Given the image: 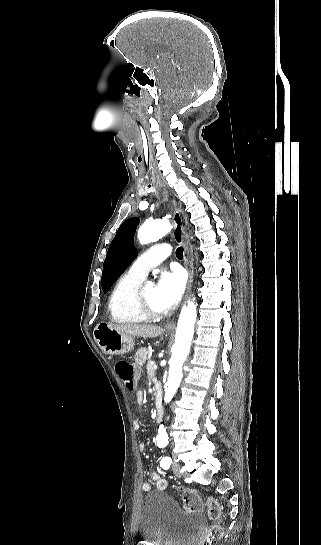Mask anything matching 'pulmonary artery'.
Listing matches in <instances>:
<instances>
[{
    "label": "pulmonary artery",
    "instance_id": "pulmonary-artery-1",
    "mask_svg": "<svg viewBox=\"0 0 321 545\" xmlns=\"http://www.w3.org/2000/svg\"><path fill=\"white\" fill-rule=\"evenodd\" d=\"M157 250L148 249L138 255L136 260L130 265L128 272L136 278L145 279L149 270L154 266L165 261L167 258L165 242L160 241L156 245Z\"/></svg>",
    "mask_w": 321,
    "mask_h": 545
}]
</instances>
